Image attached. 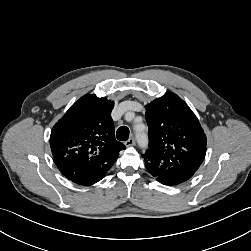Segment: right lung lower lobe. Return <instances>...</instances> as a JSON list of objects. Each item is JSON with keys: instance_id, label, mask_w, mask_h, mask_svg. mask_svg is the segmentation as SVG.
I'll use <instances>...</instances> for the list:
<instances>
[{"instance_id": "obj_1", "label": "right lung lower lobe", "mask_w": 251, "mask_h": 251, "mask_svg": "<svg viewBox=\"0 0 251 251\" xmlns=\"http://www.w3.org/2000/svg\"><path fill=\"white\" fill-rule=\"evenodd\" d=\"M102 179V178H101ZM100 179V180H101ZM99 180H92V181H88V185H91V184H94V183H96V182H98Z\"/></svg>"}]
</instances>
